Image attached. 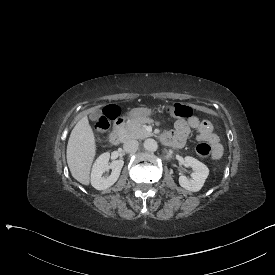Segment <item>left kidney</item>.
Here are the masks:
<instances>
[{"instance_id": "left-kidney-1", "label": "left kidney", "mask_w": 275, "mask_h": 275, "mask_svg": "<svg viewBox=\"0 0 275 275\" xmlns=\"http://www.w3.org/2000/svg\"><path fill=\"white\" fill-rule=\"evenodd\" d=\"M183 165L191 167L194 172L189 178L185 176L179 178L181 187L191 192L199 191L209 175V169L205 164L190 156L184 158Z\"/></svg>"}]
</instances>
